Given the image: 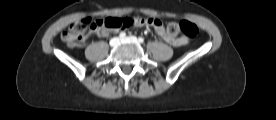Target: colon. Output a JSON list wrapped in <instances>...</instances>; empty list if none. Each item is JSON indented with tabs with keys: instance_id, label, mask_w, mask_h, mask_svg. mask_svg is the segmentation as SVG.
<instances>
[{
	"instance_id": "obj_1",
	"label": "colon",
	"mask_w": 276,
	"mask_h": 120,
	"mask_svg": "<svg viewBox=\"0 0 276 120\" xmlns=\"http://www.w3.org/2000/svg\"><path fill=\"white\" fill-rule=\"evenodd\" d=\"M156 18L141 17H107L100 19H82L70 25L61 35V39L67 45L75 47L82 41L86 34L93 31L115 30L132 26L152 25L157 22ZM166 31L174 36L182 33L188 38H195L198 34L197 26L190 21L169 22Z\"/></svg>"
}]
</instances>
